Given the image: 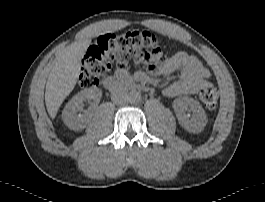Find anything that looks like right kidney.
Wrapping results in <instances>:
<instances>
[{"instance_id":"1","label":"right kidney","mask_w":265,"mask_h":202,"mask_svg":"<svg viewBox=\"0 0 265 202\" xmlns=\"http://www.w3.org/2000/svg\"><path fill=\"white\" fill-rule=\"evenodd\" d=\"M101 96L102 91L98 88H87L73 96L62 111V119L68 128L75 131L84 129L88 123V115L78 114L83 109V101L88 99L99 103Z\"/></svg>"}]
</instances>
